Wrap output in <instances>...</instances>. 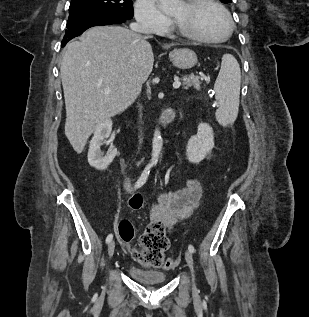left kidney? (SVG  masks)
<instances>
[{"label": "left kidney", "instance_id": "1", "mask_svg": "<svg viewBox=\"0 0 309 317\" xmlns=\"http://www.w3.org/2000/svg\"><path fill=\"white\" fill-rule=\"evenodd\" d=\"M214 147L213 129L207 123H200L196 136L189 139L186 146V156L189 162L198 164Z\"/></svg>", "mask_w": 309, "mask_h": 317}]
</instances>
